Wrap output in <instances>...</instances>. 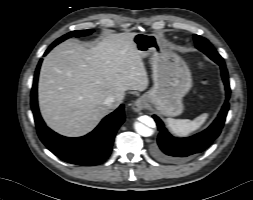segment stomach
<instances>
[{"instance_id": "1", "label": "stomach", "mask_w": 253, "mask_h": 200, "mask_svg": "<svg viewBox=\"0 0 253 200\" xmlns=\"http://www.w3.org/2000/svg\"><path fill=\"white\" fill-rule=\"evenodd\" d=\"M133 43L142 58L151 56L154 85L144 98L162 115H180L182 98L192 87L185 61L155 34L135 33Z\"/></svg>"}]
</instances>
